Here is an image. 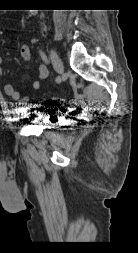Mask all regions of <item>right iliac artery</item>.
Listing matches in <instances>:
<instances>
[{"mask_svg": "<svg viewBox=\"0 0 138 253\" xmlns=\"http://www.w3.org/2000/svg\"><path fill=\"white\" fill-rule=\"evenodd\" d=\"M40 55H41L42 60H43L45 63H48V59H47V56L45 55V53H43L42 51H40ZM59 81H60V78L57 77V78H56V82H59Z\"/></svg>", "mask_w": 138, "mask_h": 253, "instance_id": "obj_1", "label": "right iliac artery"}]
</instances>
